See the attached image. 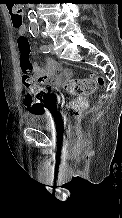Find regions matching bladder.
Listing matches in <instances>:
<instances>
[{
    "label": "bladder",
    "mask_w": 122,
    "mask_h": 218,
    "mask_svg": "<svg viewBox=\"0 0 122 218\" xmlns=\"http://www.w3.org/2000/svg\"><path fill=\"white\" fill-rule=\"evenodd\" d=\"M25 124L37 128L49 126V118L44 112H31L25 116Z\"/></svg>",
    "instance_id": "bladder-1"
}]
</instances>
